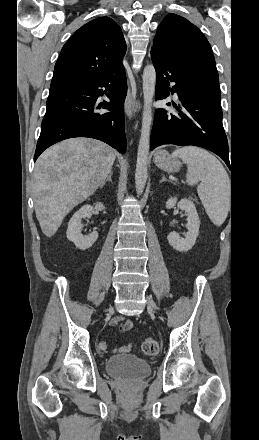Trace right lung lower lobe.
<instances>
[{"label": "right lung lower lobe", "mask_w": 259, "mask_h": 440, "mask_svg": "<svg viewBox=\"0 0 259 440\" xmlns=\"http://www.w3.org/2000/svg\"><path fill=\"white\" fill-rule=\"evenodd\" d=\"M102 88L109 91L110 102L97 105V98L107 93ZM126 93L123 66L102 77L50 87L34 161L49 146L73 137L95 138L125 153L123 103ZM100 108L110 111L98 113Z\"/></svg>", "instance_id": "98d812e1"}]
</instances>
